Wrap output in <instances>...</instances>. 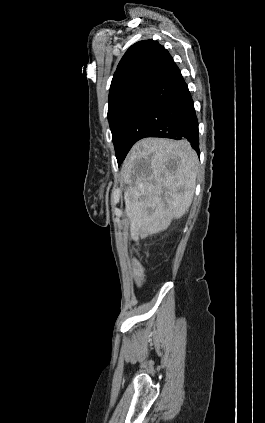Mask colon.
I'll return each instance as SVG.
<instances>
[{
    "instance_id": "obj_1",
    "label": "colon",
    "mask_w": 265,
    "mask_h": 423,
    "mask_svg": "<svg viewBox=\"0 0 265 423\" xmlns=\"http://www.w3.org/2000/svg\"><path fill=\"white\" fill-rule=\"evenodd\" d=\"M143 281H144V274H143V272L139 269V270L137 271V283H138L139 285H141V284L143 283Z\"/></svg>"
}]
</instances>
